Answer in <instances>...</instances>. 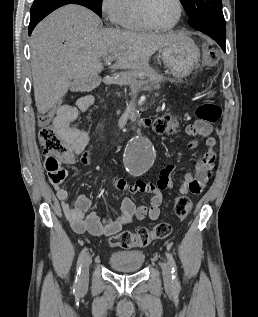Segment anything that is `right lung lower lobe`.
<instances>
[{
    "mask_svg": "<svg viewBox=\"0 0 258 317\" xmlns=\"http://www.w3.org/2000/svg\"><path fill=\"white\" fill-rule=\"evenodd\" d=\"M79 4L95 12L89 0H34L31 7V19L29 24V35L35 26L49 13L66 4Z\"/></svg>",
    "mask_w": 258,
    "mask_h": 317,
    "instance_id": "98d812e1",
    "label": "right lung lower lobe"
}]
</instances>
